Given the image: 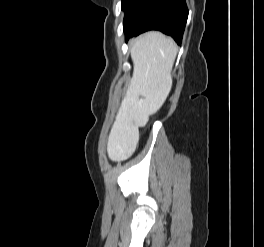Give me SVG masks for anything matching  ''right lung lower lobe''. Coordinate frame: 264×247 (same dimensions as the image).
Segmentation results:
<instances>
[{
    "instance_id": "right-lung-lower-lobe-1",
    "label": "right lung lower lobe",
    "mask_w": 264,
    "mask_h": 247,
    "mask_svg": "<svg viewBox=\"0 0 264 247\" xmlns=\"http://www.w3.org/2000/svg\"><path fill=\"white\" fill-rule=\"evenodd\" d=\"M187 18L185 0H131L125 9L123 29L126 40L148 30H158L181 44Z\"/></svg>"
}]
</instances>
